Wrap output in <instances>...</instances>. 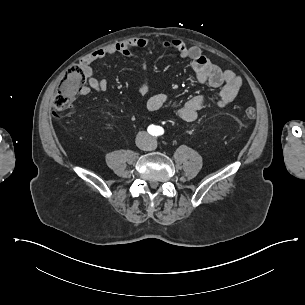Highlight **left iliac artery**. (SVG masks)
Listing matches in <instances>:
<instances>
[{
  "mask_svg": "<svg viewBox=\"0 0 305 305\" xmlns=\"http://www.w3.org/2000/svg\"><path fill=\"white\" fill-rule=\"evenodd\" d=\"M164 134V130L161 127L157 128V136L159 135H163Z\"/></svg>",
  "mask_w": 305,
  "mask_h": 305,
  "instance_id": "obj_1",
  "label": "left iliac artery"
}]
</instances>
